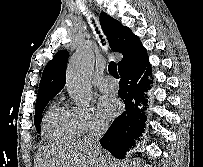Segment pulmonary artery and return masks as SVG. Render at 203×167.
I'll return each instance as SVG.
<instances>
[{
	"mask_svg": "<svg viewBox=\"0 0 203 167\" xmlns=\"http://www.w3.org/2000/svg\"><path fill=\"white\" fill-rule=\"evenodd\" d=\"M97 86L102 91H110L116 88V82L110 76H104L97 81Z\"/></svg>",
	"mask_w": 203,
	"mask_h": 167,
	"instance_id": "e3ab8cb5",
	"label": "pulmonary artery"
}]
</instances>
